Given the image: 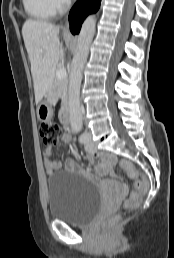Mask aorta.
<instances>
[{
	"instance_id": "1",
	"label": "aorta",
	"mask_w": 174,
	"mask_h": 258,
	"mask_svg": "<svg viewBox=\"0 0 174 258\" xmlns=\"http://www.w3.org/2000/svg\"><path fill=\"white\" fill-rule=\"evenodd\" d=\"M96 21L94 16H88L79 33L76 54L72 60L69 76V114L72 130L79 131L83 125V116L80 108V86L82 71L87 60L89 47L95 34Z\"/></svg>"
}]
</instances>
